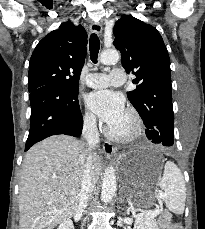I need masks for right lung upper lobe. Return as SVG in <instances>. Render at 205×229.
<instances>
[{
  "instance_id": "right-lung-upper-lobe-1",
  "label": "right lung upper lobe",
  "mask_w": 205,
  "mask_h": 229,
  "mask_svg": "<svg viewBox=\"0 0 205 229\" xmlns=\"http://www.w3.org/2000/svg\"><path fill=\"white\" fill-rule=\"evenodd\" d=\"M87 33L71 21L46 35L34 49L29 63L28 90L46 85L77 83L86 56Z\"/></svg>"
}]
</instances>
